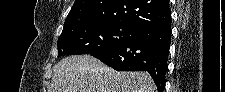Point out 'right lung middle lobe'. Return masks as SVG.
<instances>
[{
  "label": "right lung middle lobe",
  "mask_w": 225,
  "mask_h": 92,
  "mask_svg": "<svg viewBox=\"0 0 225 92\" xmlns=\"http://www.w3.org/2000/svg\"><path fill=\"white\" fill-rule=\"evenodd\" d=\"M137 29L119 23H83L64 29L58 39V57L63 55L94 54L133 38Z\"/></svg>",
  "instance_id": "right-lung-middle-lobe-1"
}]
</instances>
